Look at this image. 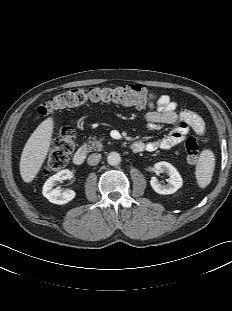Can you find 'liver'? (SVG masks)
I'll return each mask as SVG.
<instances>
[{"label":"liver","instance_id":"liver-1","mask_svg":"<svg viewBox=\"0 0 232 311\" xmlns=\"http://www.w3.org/2000/svg\"><path fill=\"white\" fill-rule=\"evenodd\" d=\"M53 128V118L48 117L27 140L19 164L20 175L24 182H32L40 171L51 145Z\"/></svg>","mask_w":232,"mask_h":311}]
</instances>
